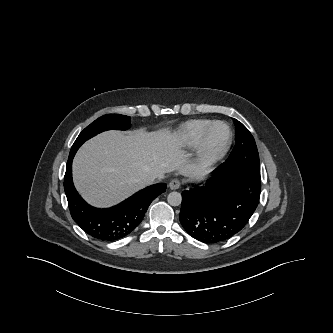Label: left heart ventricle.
Returning <instances> with one entry per match:
<instances>
[{
    "label": "left heart ventricle",
    "instance_id": "1",
    "mask_svg": "<svg viewBox=\"0 0 333 333\" xmlns=\"http://www.w3.org/2000/svg\"><path fill=\"white\" fill-rule=\"evenodd\" d=\"M225 136H226L225 127H223L222 125L216 126L212 136L214 144L215 145L221 144L224 141Z\"/></svg>",
    "mask_w": 333,
    "mask_h": 333
}]
</instances>
